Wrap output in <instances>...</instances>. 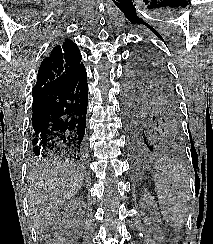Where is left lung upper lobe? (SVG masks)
Segmentation results:
<instances>
[{
    "label": "left lung upper lobe",
    "instance_id": "obj_1",
    "mask_svg": "<svg viewBox=\"0 0 213 244\" xmlns=\"http://www.w3.org/2000/svg\"><path fill=\"white\" fill-rule=\"evenodd\" d=\"M123 104L156 128L163 140L181 136L177 93L166 65L153 52L140 50L128 63Z\"/></svg>",
    "mask_w": 213,
    "mask_h": 244
}]
</instances>
